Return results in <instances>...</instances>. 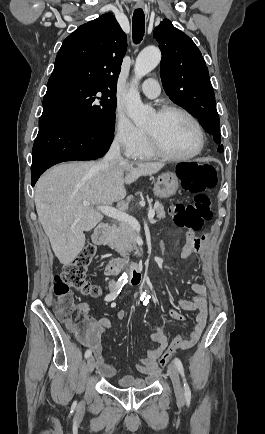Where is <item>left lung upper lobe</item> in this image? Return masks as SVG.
Here are the masks:
<instances>
[{"mask_svg":"<svg viewBox=\"0 0 265 434\" xmlns=\"http://www.w3.org/2000/svg\"><path fill=\"white\" fill-rule=\"evenodd\" d=\"M153 35L162 53L160 76L166 94L198 118L202 127L220 144V120L215 95L200 50L190 37L167 19L155 28ZM219 148L223 146L219 145Z\"/></svg>","mask_w":265,"mask_h":434,"instance_id":"5c2ea615","label":"left lung upper lobe"}]
</instances>
